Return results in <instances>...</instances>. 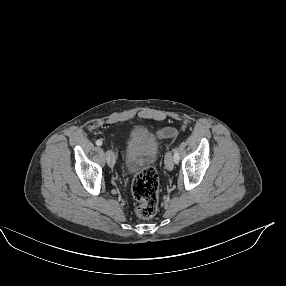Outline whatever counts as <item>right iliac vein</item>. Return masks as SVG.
<instances>
[{"label": "right iliac vein", "mask_w": 286, "mask_h": 286, "mask_svg": "<svg viewBox=\"0 0 286 286\" xmlns=\"http://www.w3.org/2000/svg\"><path fill=\"white\" fill-rule=\"evenodd\" d=\"M105 155H106L107 164L110 167H113L115 165V161H116L114 153L111 150H108V151H106Z\"/></svg>", "instance_id": "right-iliac-vein-1"}]
</instances>
